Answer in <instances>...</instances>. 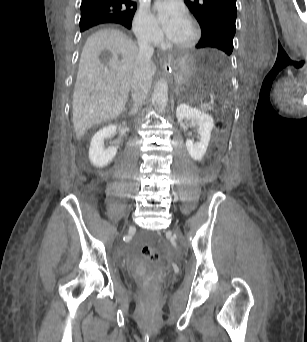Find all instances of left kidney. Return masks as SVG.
I'll return each instance as SVG.
<instances>
[{"instance_id": "5707ae66", "label": "left kidney", "mask_w": 307, "mask_h": 342, "mask_svg": "<svg viewBox=\"0 0 307 342\" xmlns=\"http://www.w3.org/2000/svg\"><path fill=\"white\" fill-rule=\"evenodd\" d=\"M177 122L181 124L183 120H191L192 126H198L197 132L200 136L199 142H193V140H186V148L189 156L200 162L203 160L207 148L209 146L212 128L214 126V120L210 114L198 110V108H191L186 104H179L176 110Z\"/></svg>"}]
</instances>
